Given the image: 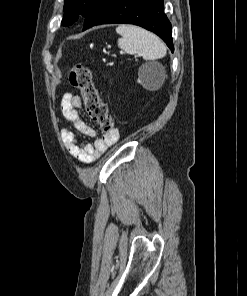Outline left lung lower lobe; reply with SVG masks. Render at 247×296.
<instances>
[{
  "mask_svg": "<svg viewBox=\"0 0 247 296\" xmlns=\"http://www.w3.org/2000/svg\"><path fill=\"white\" fill-rule=\"evenodd\" d=\"M127 23L157 34L174 51L172 27L163 0H101L86 16L83 30L100 24Z\"/></svg>",
  "mask_w": 247,
  "mask_h": 296,
  "instance_id": "1",
  "label": "left lung lower lobe"
}]
</instances>
